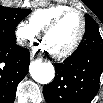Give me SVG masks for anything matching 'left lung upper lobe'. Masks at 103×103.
Segmentation results:
<instances>
[{
  "mask_svg": "<svg viewBox=\"0 0 103 103\" xmlns=\"http://www.w3.org/2000/svg\"><path fill=\"white\" fill-rule=\"evenodd\" d=\"M85 23H86L85 30L90 29L92 27H97V24L94 21V19L87 14L85 15Z\"/></svg>",
  "mask_w": 103,
  "mask_h": 103,
  "instance_id": "obj_1",
  "label": "left lung upper lobe"
}]
</instances>
